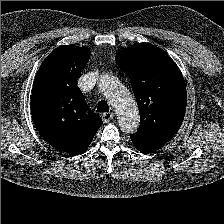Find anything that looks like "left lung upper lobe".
<instances>
[{"label":"left lung upper lobe","mask_w":224,"mask_h":224,"mask_svg":"<svg viewBox=\"0 0 224 224\" xmlns=\"http://www.w3.org/2000/svg\"><path fill=\"white\" fill-rule=\"evenodd\" d=\"M115 60L131 81L140 113L137 131L166 144L180 128L186 111L180 69L162 49L149 43L126 48Z\"/></svg>","instance_id":"5c2ea615"}]
</instances>
